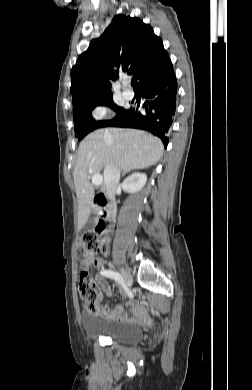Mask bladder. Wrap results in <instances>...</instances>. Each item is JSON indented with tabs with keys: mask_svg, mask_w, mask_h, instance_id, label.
I'll list each match as a JSON object with an SVG mask.
<instances>
[{
	"mask_svg": "<svg viewBox=\"0 0 252 390\" xmlns=\"http://www.w3.org/2000/svg\"><path fill=\"white\" fill-rule=\"evenodd\" d=\"M82 325L87 336L107 337L122 345L137 344L144 337L142 327L136 323L83 316Z\"/></svg>",
	"mask_w": 252,
	"mask_h": 390,
	"instance_id": "1",
	"label": "bladder"
}]
</instances>
